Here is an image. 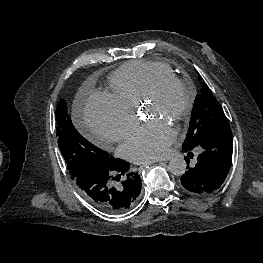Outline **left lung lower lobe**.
<instances>
[{
	"label": "left lung lower lobe",
	"instance_id": "0a47b994",
	"mask_svg": "<svg viewBox=\"0 0 263 263\" xmlns=\"http://www.w3.org/2000/svg\"><path fill=\"white\" fill-rule=\"evenodd\" d=\"M202 150L194 167L187 162V172L181 177L182 186L193 194L206 195L224 182L232 163L233 140L230 127H221L207 134L196 146ZM193 148H182L190 152Z\"/></svg>",
	"mask_w": 263,
	"mask_h": 263
}]
</instances>
